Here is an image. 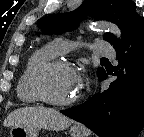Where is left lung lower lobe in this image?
<instances>
[{
  "mask_svg": "<svg viewBox=\"0 0 144 137\" xmlns=\"http://www.w3.org/2000/svg\"><path fill=\"white\" fill-rule=\"evenodd\" d=\"M115 51L117 79L107 90L61 113L100 137H135L144 125V20ZM106 77L105 71L100 80Z\"/></svg>",
  "mask_w": 144,
  "mask_h": 137,
  "instance_id": "0a47b994",
  "label": "left lung lower lobe"
}]
</instances>
